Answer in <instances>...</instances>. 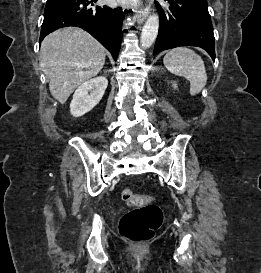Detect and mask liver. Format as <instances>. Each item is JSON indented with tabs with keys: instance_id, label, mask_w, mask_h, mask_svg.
<instances>
[{
	"instance_id": "obj_1",
	"label": "liver",
	"mask_w": 261,
	"mask_h": 273,
	"mask_svg": "<svg viewBox=\"0 0 261 273\" xmlns=\"http://www.w3.org/2000/svg\"><path fill=\"white\" fill-rule=\"evenodd\" d=\"M105 58V48L89 33L75 27L45 37L39 55L42 71L49 79L50 93L60 104L101 71Z\"/></svg>"
}]
</instances>
